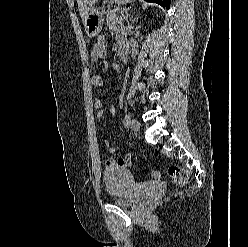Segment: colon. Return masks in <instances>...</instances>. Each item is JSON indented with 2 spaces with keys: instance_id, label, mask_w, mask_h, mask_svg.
<instances>
[{
  "instance_id": "colon-1",
  "label": "colon",
  "mask_w": 248,
  "mask_h": 247,
  "mask_svg": "<svg viewBox=\"0 0 248 247\" xmlns=\"http://www.w3.org/2000/svg\"><path fill=\"white\" fill-rule=\"evenodd\" d=\"M168 174L172 181L178 185H184L188 181V174L185 169L177 165H171L168 168ZM151 176L154 178L158 177V172L152 171Z\"/></svg>"
}]
</instances>
